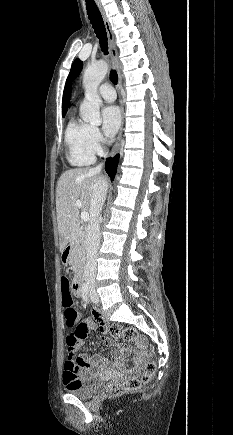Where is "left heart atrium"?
<instances>
[{
  "label": "left heart atrium",
  "mask_w": 233,
  "mask_h": 435,
  "mask_svg": "<svg viewBox=\"0 0 233 435\" xmlns=\"http://www.w3.org/2000/svg\"><path fill=\"white\" fill-rule=\"evenodd\" d=\"M101 117L104 134L110 139L113 138L121 123L119 109L113 105L107 106L102 110Z\"/></svg>",
  "instance_id": "1"
}]
</instances>
